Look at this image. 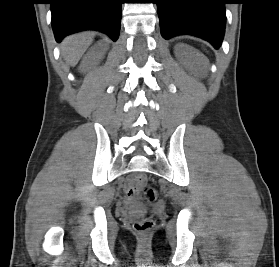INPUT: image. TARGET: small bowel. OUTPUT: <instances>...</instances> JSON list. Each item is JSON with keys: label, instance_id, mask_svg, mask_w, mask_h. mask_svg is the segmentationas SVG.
Returning <instances> with one entry per match:
<instances>
[{"label": "small bowel", "instance_id": "1", "mask_svg": "<svg viewBox=\"0 0 279 267\" xmlns=\"http://www.w3.org/2000/svg\"><path fill=\"white\" fill-rule=\"evenodd\" d=\"M137 187H138L137 178L133 179L129 182L128 188H127V195L129 198H132L135 196Z\"/></svg>", "mask_w": 279, "mask_h": 267}]
</instances>
